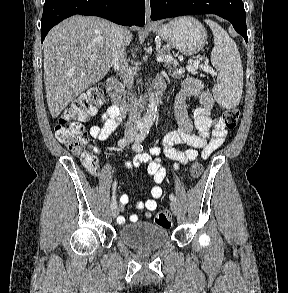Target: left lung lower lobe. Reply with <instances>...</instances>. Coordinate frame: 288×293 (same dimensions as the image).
Segmentation results:
<instances>
[{
	"label": "left lung lower lobe",
	"mask_w": 288,
	"mask_h": 293,
	"mask_svg": "<svg viewBox=\"0 0 288 293\" xmlns=\"http://www.w3.org/2000/svg\"><path fill=\"white\" fill-rule=\"evenodd\" d=\"M150 6L152 20L191 14H216L230 21L248 42L242 0H150Z\"/></svg>",
	"instance_id": "obj_1"
}]
</instances>
